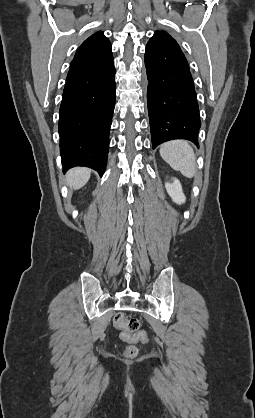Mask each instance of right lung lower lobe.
<instances>
[{"label":"right lung lower lobe","instance_id":"98d812e1","mask_svg":"<svg viewBox=\"0 0 255 418\" xmlns=\"http://www.w3.org/2000/svg\"><path fill=\"white\" fill-rule=\"evenodd\" d=\"M115 93L113 56L70 68L58 125L64 171L74 166H87L103 175Z\"/></svg>","mask_w":255,"mask_h":418}]
</instances>
